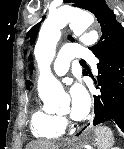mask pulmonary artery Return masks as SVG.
I'll return each mask as SVG.
<instances>
[{"instance_id": "obj_1", "label": "pulmonary artery", "mask_w": 124, "mask_h": 149, "mask_svg": "<svg viewBox=\"0 0 124 149\" xmlns=\"http://www.w3.org/2000/svg\"><path fill=\"white\" fill-rule=\"evenodd\" d=\"M76 58L91 61L95 68L96 60L88 48L80 44L69 43L62 47L53 65L55 76L61 77L65 75L69 70L71 61Z\"/></svg>"}]
</instances>
